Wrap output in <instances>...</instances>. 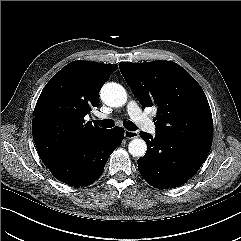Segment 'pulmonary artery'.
I'll return each mask as SVG.
<instances>
[{
  "mask_svg": "<svg viewBox=\"0 0 241 241\" xmlns=\"http://www.w3.org/2000/svg\"><path fill=\"white\" fill-rule=\"evenodd\" d=\"M127 111L131 119L144 131L148 133H154L156 127L152 120L145 115L139 108L135 101H130L127 104ZM105 115H100V118L104 119Z\"/></svg>",
  "mask_w": 241,
  "mask_h": 241,
  "instance_id": "e3ab8cb5",
  "label": "pulmonary artery"
}]
</instances>
